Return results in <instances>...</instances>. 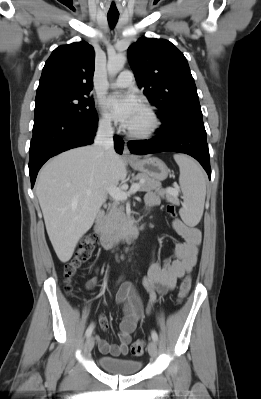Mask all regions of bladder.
I'll return each instance as SVG.
<instances>
[{
    "label": "bladder",
    "instance_id": "obj_1",
    "mask_svg": "<svg viewBox=\"0 0 261 399\" xmlns=\"http://www.w3.org/2000/svg\"><path fill=\"white\" fill-rule=\"evenodd\" d=\"M97 363L105 372L117 375H134L140 370L142 365V362L138 360L108 356H99Z\"/></svg>",
    "mask_w": 261,
    "mask_h": 399
}]
</instances>
